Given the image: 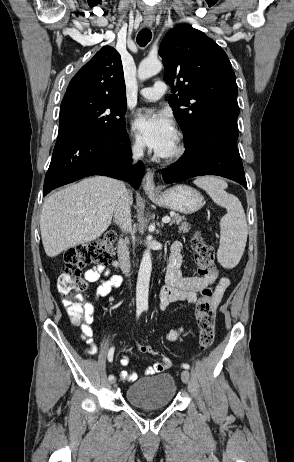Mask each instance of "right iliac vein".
Masks as SVG:
<instances>
[{
  "mask_svg": "<svg viewBox=\"0 0 294 462\" xmlns=\"http://www.w3.org/2000/svg\"><path fill=\"white\" fill-rule=\"evenodd\" d=\"M115 382H116V379H115V378L112 379V380H110V383H111V384H114Z\"/></svg>",
  "mask_w": 294,
  "mask_h": 462,
  "instance_id": "1",
  "label": "right iliac vein"
}]
</instances>
